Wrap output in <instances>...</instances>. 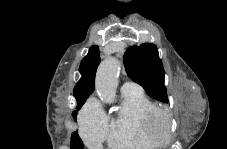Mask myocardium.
<instances>
[{"mask_svg": "<svg viewBox=\"0 0 227 149\" xmlns=\"http://www.w3.org/2000/svg\"><path fill=\"white\" fill-rule=\"evenodd\" d=\"M144 126L156 145L163 146L171 143L173 139L172 119L167 110L158 107L149 110L144 116Z\"/></svg>", "mask_w": 227, "mask_h": 149, "instance_id": "myocardium-1", "label": "myocardium"}]
</instances>
